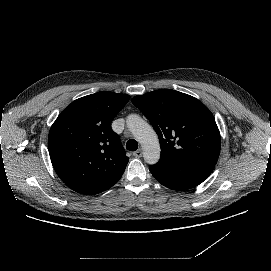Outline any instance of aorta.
Masks as SVG:
<instances>
[{
	"label": "aorta",
	"instance_id": "762f6f07",
	"mask_svg": "<svg viewBox=\"0 0 271 271\" xmlns=\"http://www.w3.org/2000/svg\"><path fill=\"white\" fill-rule=\"evenodd\" d=\"M126 124L144 150V161L150 165L156 164L160 159L161 149L158 136L152 126L137 114L128 115Z\"/></svg>",
	"mask_w": 271,
	"mask_h": 271
}]
</instances>
